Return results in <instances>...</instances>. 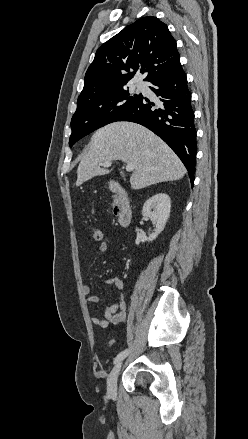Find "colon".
<instances>
[{"label":"colon","instance_id":"colon-1","mask_svg":"<svg viewBox=\"0 0 248 439\" xmlns=\"http://www.w3.org/2000/svg\"><path fill=\"white\" fill-rule=\"evenodd\" d=\"M91 236L96 242H101L103 240V232L99 227H93L91 229Z\"/></svg>","mask_w":248,"mask_h":439}]
</instances>
